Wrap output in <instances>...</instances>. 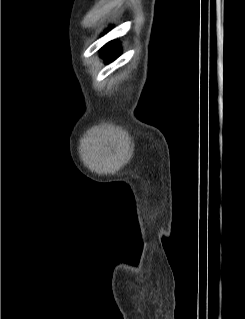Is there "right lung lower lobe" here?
<instances>
[{
    "label": "right lung lower lobe",
    "mask_w": 245,
    "mask_h": 319,
    "mask_svg": "<svg viewBox=\"0 0 245 319\" xmlns=\"http://www.w3.org/2000/svg\"><path fill=\"white\" fill-rule=\"evenodd\" d=\"M120 46L115 42L106 44L102 49V55L109 61H112L119 56Z\"/></svg>",
    "instance_id": "right-lung-lower-lobe-1"
}]
</instances>
